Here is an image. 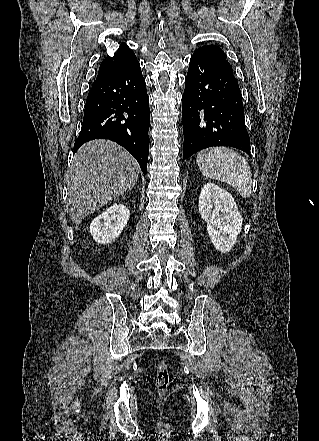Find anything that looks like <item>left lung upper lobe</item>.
<instances>
[{
  "label": "left lung upper lobe",
  "instance_id": "5c2ea615",
  "mask_svg": "<svg viewBox=\"0 0 319 441\" xmlns=\"http://www.w3.org/2000/svg\"><path fill=\"white\" fill-rule=\"evenodd\" d=\"M194 54L200 55L208 61L232 71V67L227 60V56L218 46L208 45L198 48Z\"/></svg>",
  "mask_w": 319,
  "mask_h": 441
}]
</instances>
